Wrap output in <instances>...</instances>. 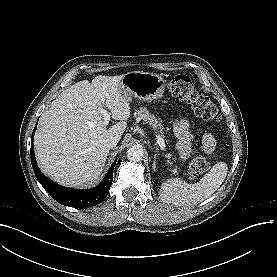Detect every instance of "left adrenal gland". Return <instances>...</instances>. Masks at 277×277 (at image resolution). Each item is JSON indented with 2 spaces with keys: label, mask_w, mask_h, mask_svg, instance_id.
I'll list each match as a JSON object with an SVG mask.
<instances>
[{
  "label": "left adrenal gland",
  "mask_w": 277,
  "mask_h": 277,
  "mask_svg": "<svg viewBox=\"0 0 277 277\" xmlns=\"http://www.w3.org/2000/svg\"><path fill=\"white\" fill-rule=\"evenodd\" d=\"M154 158H156V154L154 155ZM156 168V161L154 160V162H153V169H155Z\"/></svg>",
  "instance_id": "left-adrenal-gland-1"
}]
</instances>
